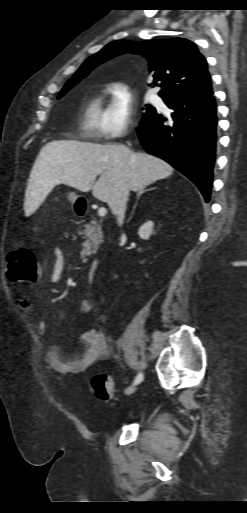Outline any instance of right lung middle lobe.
Listing matches in <instances>:
<instances>
[{
  "label": "right lung middle lobe",
  "mask_w": 247,
  "mask_h": 513,
  "mask_svg": "<svg viewBox=\"0 0 247 513\" xmlns=\"http://www.w3.org/2000/svg\"><path fill=\"white\" fill-rule=\"evenodd\" d=\"M79 81V79L77 78H72L70 79L66 85L64 86V88L61 90L60 94H59V97H61L63 94H65L71 87H73L77 82ZM148 109H147V112L143 114V119L146 117V116H149V115H152L153 113L156 112L155 108H150L149 106H147Z\"/></svg>",
  "instance_id": "obj_1"
}]
</instances>
